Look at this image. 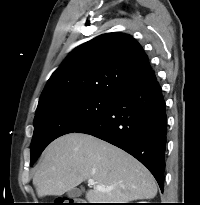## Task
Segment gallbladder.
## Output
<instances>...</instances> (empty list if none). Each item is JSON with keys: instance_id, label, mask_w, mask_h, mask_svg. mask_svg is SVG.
<instances>
[{"instance_id": "bac80fb5", "label": "gallbladder", "mask_w": 200, "mask_h": 205, "mask_svg": "<svg viewBox=\"0 0 200 205\" xmlns=\"http://www.w3.org/2000/svg\"><path fill=\"white\" fill-rule=\"evenodd\" d=\"M81 190L77 189V188H74L72 190H69L67 192V195L70 197V198H76V197H79L81 195Z\"/></svg>"}]
</instances>
